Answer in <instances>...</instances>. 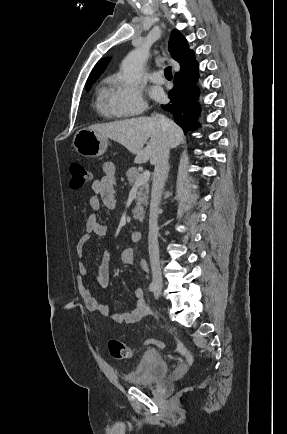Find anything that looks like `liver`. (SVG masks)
Returning a JSON list of instances; mask_svg holds the SVG:
<instances>
[{
  "label": "liver",
  "mask_w": 287,
  "mask_h": 434,
  "mask_svg": "<svg viewBox=\"0 0 287 434\" xmlns=\"http://www.w3.org/2000/svg\"><path fill=\"white\" fill-rule=\"evenodd\" d=\"M169 124V143L175 148L184 142L182 129L172 120ZM89 129L110 138L136 155V163H146L150 160L154 164L159 148L162 130L156 117H138L106 124H96ZM148 139H150L148 141ZM146 146L144 147V145Z\"/></svg>",
  "instance_id": "1"
}]
</instances>
